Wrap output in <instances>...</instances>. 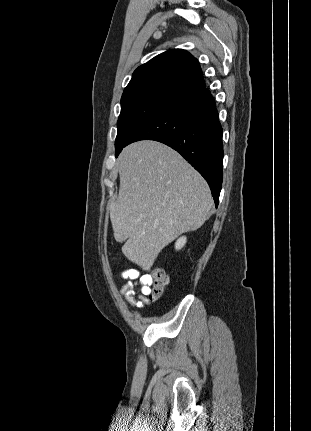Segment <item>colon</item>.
<instances>
[{
    "label": "colon",
    "instance_id": "5ec220e1",
    "mask_svg": "<svg viewBox=\"0 0 311 431\" xmlns=\"http://www.w3.org/2000/svg\"><path fill=\"white\" fill-rule=\"evenodd\" d=\"M150 298H160L168 284V277L163 269L154 267L150 270Z\"/></svg>",
    "mask_w": 311,
    "mask_h": 431
}]
</instances>
